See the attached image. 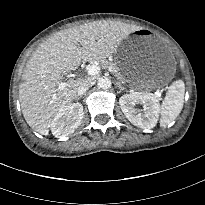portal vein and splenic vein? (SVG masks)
I'll return each instance as SVG.
<instances>
[{
  "label": "portal vein and splenic vein",
  "mask_w": 205,
  "mask_h": 205,
  "mask_svg": "<svg viewBox=\"0 0 205 205\" xmlns=\"http://www.w3.org/2000/svg\"><path fill=\"white\" fill-rule=\"evenodd\" d=\"M86 71L89 75H96L100 71V67L97 65H87ZM154 94L158 97L161 96V93L159 91H156Z\"/></svg>",
  "instance_id": "1"
}]
</instances>
